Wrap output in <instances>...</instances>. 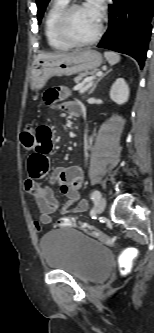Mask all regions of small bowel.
<instances>
[{
	"label": "small bowel",
	"instance_id": "obj_1",
	"mask_svg": "<svg viewBox=\"0 0 154 333\" xmlns=\"http://www.w3.org/2000/svg\"><path fill=\"white\" fill-rule=\"evenodd\" d=\"M67 95L68 91L64 88H51L45 93L44 99L51 105ZM62 107L68 114L74 116L77 110L81 111L80 105L74 101H66ZM54 143V134L49 126L38 125L34 128V147L28 157L29 179L25 183V189L35 199L40 212L37 227L39 224L53 223V214L58 208V201L51 186L39 182L49 174V154L54 148ZM82 180V170L78 166L57 167L51 172V184H58L60 191L68 198L61 209L62 214L82 213L88 209L87 201L80 198L78 193Z\"/></svg>",
	"mask_w": 154,
	"mask_h": 333
}]
</instances>
